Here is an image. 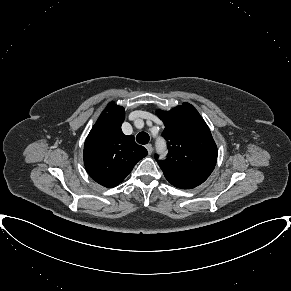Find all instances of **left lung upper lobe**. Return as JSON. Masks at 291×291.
I'll list each match as a JSON object with an SVG mask.
<instances>
[{
	"label": "left lung upper lobe",
	"instance_id": "obj_1",
	"mask_svg": "<svg viewBox=\"0 0 291 291\" xmlns=\"http://www.w3.org/2000/svg\"><path fill=\"white\" fill-rule=\"evenodd\" d=\"M157 115L164 122L163 136L168 140L167 158L158 160L155 155L165 178L200 185L212 173L218 154L207 124L189 103L168 112L158 111Z\"/></svg>",
	"mask_w": 291,
	"mask_h": 291
}]
</instances>
